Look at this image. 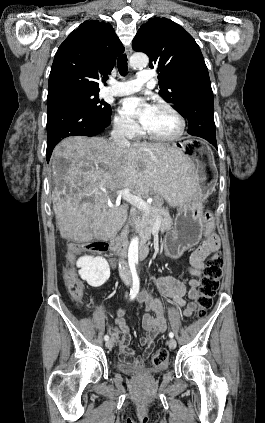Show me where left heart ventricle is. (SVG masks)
I'll return each instance as SVG.
<instances>
[{
	"label": "left heart ventricle",
	"instance_id": "1",
	"mask_svg": "<svg viewBox=\"0 0 265 423\" xmlns=\"http://www.w3.org/2000/svg\"><path fill=\"white\" fill-rule=\"evenodd\" d=\"M144 126L153 133L170 136L174 135L179 130V121L168 110L160 107H153L151 115Z\"/></svg>",
	"mask_w": 265,
	"mask_h": 423
}]
</instances>
